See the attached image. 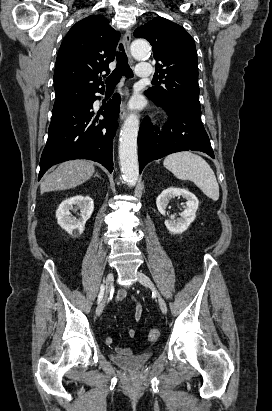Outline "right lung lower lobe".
I'll list each match as a JSON object with an SVG mask.
<instances>
[{
  "label": "right lung lower lobe",
  "instance_id": "98d812e1",
  "mask_svg": "<svg viewBox=\"0 0 272 411\" xmlns=\"http://www.w3.org/2000/svg\"><path fill=\"white\" fill-rule=\"evenodd\" d=\"M95 93L75 105L52 112L38 180L51 166L72 159L93 160L110 173L113 171L112 145L118 126L120 96L115 94L96 114L92 111L97 99ZM100 114L104 119H99Z\"/></svg>",
  "mask_w": 272,
  "mask_h": 411
}]
</instances>
